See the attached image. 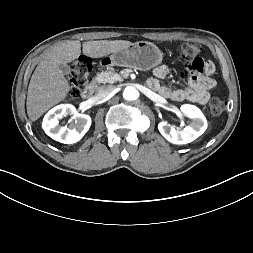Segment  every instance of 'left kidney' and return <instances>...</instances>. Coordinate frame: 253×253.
I'll list each match as a JSON object with an SVG mask.
<instances>
[{
  "label": "left kidney",
  "mask_w": 253,
  "mask_h": 253,
  "mask_svg": "<svg viewBox=\"0 0 253 253\" xmlns=\"http://www.w3.org/2000/svg\"><path fill=\"white\" fill-rule=\"evenodd\" d=\"M181 112L192 120L190 125L183 130H177L165 121L158 124V130L161 135L170 143L173 144H187L199 136H201L207 129V120L202 111L191 104H184L180 107Z\"/></svg>",
  "instance_id": "left-kidney-1"
}]
</instances>
